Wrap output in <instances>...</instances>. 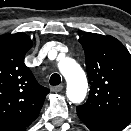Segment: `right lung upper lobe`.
Returning <instances> with one entry per match:
<instances>
[{
	"label": "right lung upper lobe",
	"instance_id": "cb5924a9",
	"mask_svg": "<svg viewBox=\"0 0 131 131\" xmlns=\"http://www.w3.org/2000/svg\"><path fill=\"white\" fill-rule=\"evenodd\" d=\"M32 45L25 33L0 36V131H24L49 93L24 63Z\"/></svg>",
	"mask_w": 131,
	"mask_h": 131
}]
</instances>
